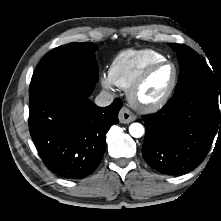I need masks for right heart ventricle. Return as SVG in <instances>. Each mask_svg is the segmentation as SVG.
<instances>
[{
	"mask_svg": "<svg viewBox=\"0 0 221 221\" xmlns=\"http://www.w3.org/2000/svg\"><path fill=\"white\" fill-rule=\"evenodd\" d=\"M163 59H166L163 54L152 49H129L114 58L109 77L115 85L128 89L147 65Z\"/></svg>",
	"mask_w": 221,
	"mask_h": 221,
	"instance_id": "e07e8e85",
	"label": "right heart ventricle"
}]
</instances>
